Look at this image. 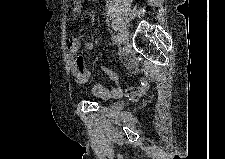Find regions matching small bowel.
<instances>
[{"mask_svg":"<svg viewBox=\"0 0 225 159\" xmlns=\"http://www.w3.org/2000/svg\"><path fill=\"white\" fill-rule=\"evenodd\" d=\"M81 13V3L75 2L70 10L69 14L72 17H77ZM68 47L70 51V62H71V71L72 76L75 80V82L78 85L84 86L87 85L91 79V71L86 65V61L83 57L78 56V52L80 49V41L78 37L75 34H71L68 38ZM94 48V44L91 41H88L85 43V49L90 51ZM121 58L124 63V65L129 68H134L133 61L125 54L121 53ZM103 71L108 75V77L114 81L118 82L119 77L118 75L109 68H104ZM147 81L145 79H139L136 84L133 86H130L126 88V92L128 94H138L146 90L147 88ZM123 88L119 85L111 86V87H104V86H98L95 85L92 87V93L96 95L97 97L108 99V98H114L119 97L123 93Z\"/></svg>","mask_w":225,"mask_h":159,"instance_id":"c3829d8e","label":"small bowel"}]
</instances>
